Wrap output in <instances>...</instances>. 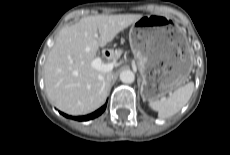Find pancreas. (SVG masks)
Returning a JSON list of instances; mask_svg holds the SVG:
<instances>
[{"label":"pancreas","mask_w":230,"mask_h":155,"mask_svg":"<svg viewBox=\"0 0 230 155\" xmlns=\"http://www.w3.org/2000/svg\"><path fill=\"white\" fill-rule=\"evenodd\" d=\"M121 53H122L121 50L115 51V53L111 56V59H112V60L118 59V58L120 57Z\"/></svg>","instance_id":"pancreas-1"}]
</instances>
